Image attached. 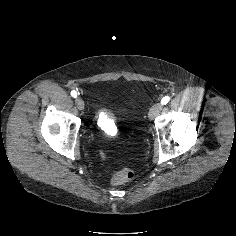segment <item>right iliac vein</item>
I'll return each instance as SVG.
<instances>
[{
	"mask_svg": "<svg viewBox=\"0 0 236 236\" xmlns=\"http://www.w3.org/2000/svg\"><path fill=\"white\" fill-rule=\"evenodd\" d=\"M75 104L77 106V108L79 110H83L84 109V101L81 97H77L76 100H75Z\"/></svg>",
	"mask_w": 236,
	"mask_h": 236,
	"instance_id": "obj_1",
	"label": "right iliac vein"
}]
</instances>
